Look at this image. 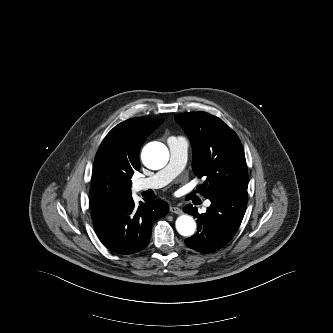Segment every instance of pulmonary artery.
<instances>
[{
    "mask_svg": "<svg viewBox=\"0 0 333 333\" xmlns=\"http://www.w3.org/2000/svg\"><path fill=\"white\" fill-rule=\"evenodd\" d=\"M170 159L165 168L156 174L135 182L137 190L156 189L169 184L184 168L187 159L188 143L182 137H170L167 140ZM210 202L206 203L209 206Z\"/></svg>",
    "mask_w": 333,
    "mask_h": 333,
    "instance_id": "obj_1",
    "label": "pulmonary artery"
}]
</instances>
